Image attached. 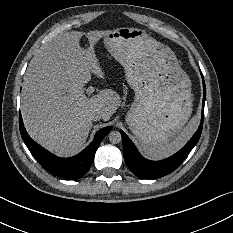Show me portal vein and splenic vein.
I'll list each match as a JSON object with an SVG mask.
<instances>
[{
  "label": "portal vein and splenic vein",
  "mask_w": 233,
  "mask_h": 233,
  "mask_svg": "<svg viewBox=\"0 0 233 233\" xmlns=\"http://www.w3.org/2000/svg\"><path fill=\"white\" fill-rule=\"evenodd\" d=\"M87 94H92L94 92V89H92V87H89L87 90H86Z\"/></svg>",
  "instance_id": "1"
}]
</instances>
